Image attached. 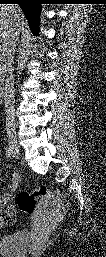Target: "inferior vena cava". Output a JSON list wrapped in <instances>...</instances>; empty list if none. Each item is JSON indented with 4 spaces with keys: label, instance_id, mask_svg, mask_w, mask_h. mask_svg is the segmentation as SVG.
<instances>
[{
    "label": "inferior vena cava",
    "instance_id": "obj_1",
    "mask_svg": "<svg viewBox=\"0 0 106 257\" xmlns=\"http://www.w3.org/2000/svg\"><path fill=\"white\" fill-rule=\"evenodd\" d=\"M20 27L18 25H13L1 47V57H0V75L4 91V105L6 112V127L7 130H12L15 128V88H14V78H13V59L15 48L19 40Z\"/></svg>",
    "mask_w": 106,
    "mask_h": 257
}]
</instances>
